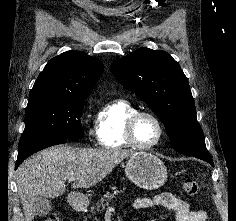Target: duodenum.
Returning <instances> with one entry per match:
<instances>
[{"label": "duodenum", "mask_w": 236, "mask_h": 221, "mask_svg": "<svg viewBox=\"0 0 236 221\" xmlns=\"http://www.w3.org/2000/svg\"><path fill=\"white\" fill-rule=\"evenodd\" d=\"M76 210H78V211H82V210H83V207L80 206V205H77V206H76Z\"/></svg>", "instance_id": "1"}]
</instances>
